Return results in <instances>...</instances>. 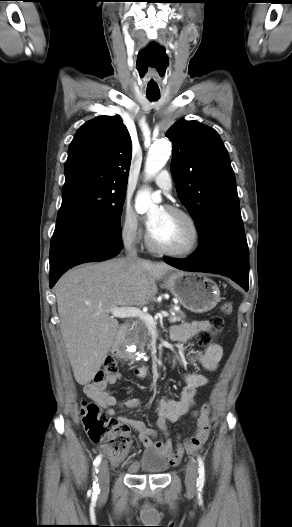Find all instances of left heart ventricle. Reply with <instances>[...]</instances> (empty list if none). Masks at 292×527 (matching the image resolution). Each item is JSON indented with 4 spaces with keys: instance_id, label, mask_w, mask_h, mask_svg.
<instances>
[{
    "instance_id": "1",
    "label": "left heart ventricle",
    "mask_w": 292,
    "mask_h": 527,
    "mask_svg": "<svg viewBox=\"0 0 292 527\" xmlns=\"http://www.w3.org/2000/svg\"><path fill=\"white\" fill-rule=\"evenodd\" d=\"M156 212H159L157 223L149 230L153 240L157 244L171 249L186 247L192 237L188 222L181 216L164 209H155L151 214Z\"/></svg>"
}]
</instances>
